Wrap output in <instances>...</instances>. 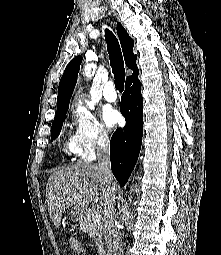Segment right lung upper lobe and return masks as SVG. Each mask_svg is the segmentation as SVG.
Here are the masks:
<instances>
[{
	"instance_id": "obj_1",
	"label": "right lung upper lobe",
	"mask_w": 221,
	"mask_h": 255,
	"mask_svg": "<svg viewBox=\"0 0 221 255\" xmlns=\"http://www.w3.org/2000/svg\"><path fill=\"white\" fill-rule=\"evenodd\" d=\"M117 34L121 43L125 63L131 70H133L134 74L138 71L136 65L137 56L133 54L134 41L128 35L127 31L120 23L117 24ZM81 62H82L81 56L75 57L73 60L69 62L63 73V76L60 80L58 87L56 113L65 112L68 110L70 98L77 81V75L79 72ZM129 77H127V79Z\"/></svg>"
}]
</instances>
